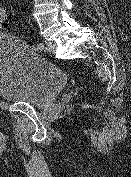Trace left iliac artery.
I'll return each mask as SVG.
<instances>
[{"label": "left iliac artery", "mask_w": 131, "mask_h": 177, "mask_svg": "<svg viewBox=\"0 0 131 177\" xmlns=\"http://www.w3.org/2000/svg\"><path fill=\"white\" fill-rule=\"evenodd\" d=\"M37 49L38 50H43L44 49V44L42 42L37 43Z\"/></svg>", "instance_id": "left-iliac-artery-1"}]
</instances>
